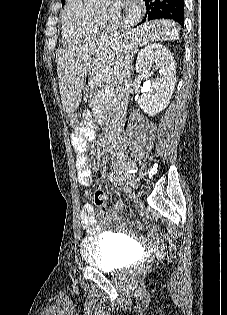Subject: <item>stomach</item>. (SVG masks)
I'll use <instances>...</instances> for the list:
<instances>
[{"label": "stomach", "mask_w": 227, "mask_h": 315, "mask_svg": "<svg viewBox=\"0 0 227 315\" xmlns=\"http://www.w3.org/2000/svg\"><path fill=\"white\" fill-rule=\"evenodd\" d=\"M99 73L94 68H91L87 75H84L83 80H81L80 85L82 91H92L93 86L91 82H93L94 78H98ZM69 121L71 124L74 123V115H69Z\"/></svg>", "instance_id": "1"}]
</instances>
